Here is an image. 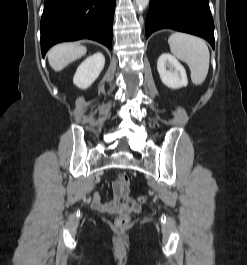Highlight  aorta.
Here are the masks:
<instances>
[{"instance_id":"obj_1","label":"aorta","mask_w":247,"mask_h":265,"mask_svg":"<svg viewBox=\"0 0 247 265\" xmlns=\"http://www.w3.org/2000/svg\"><path fill=\"white\" fill-rule=\"evenodd\" d=\"M135 3L139 9H145L149 4V0H135Z\"/></svg>"}]
</instances>
